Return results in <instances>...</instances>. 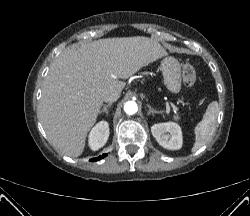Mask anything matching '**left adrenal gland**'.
Returning a JSON list of instances; mask_svg holds the SVG:
<instances>
[{
	"mask_svg": "<svg viewBox=\"0 0 250 216\" xmlns=\"http://www.w3.org/2000/svg\"><path fill=\"white\" fill-rule=\"evenodd\" d=\"M147 107L149 108L148 115H150V114H160V113H162L161 111H157V110L153 109V108L151 107V105H147Z\"/></svg>",
	"mask_w": 250,
	"mask_h": 216,
	"instance_id": "left-adrenal-gland-1",
	"label": "left adrenal gland"
}]
</instances>
